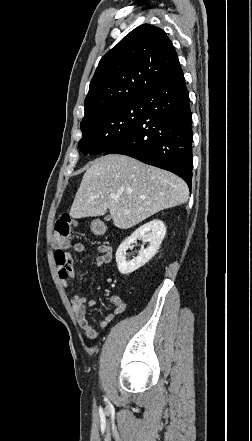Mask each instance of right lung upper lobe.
<instances>
[{
	"instance_id": "obj_1",
	"label": "right lung upper lobe",
	"mask_w": 252,
	"mask_h": 441,
	"mask_svg": "<svg viewBox=\"0 0 252 441\" xmlns=\"http://www.w3.org/2000/svg\"><path fill=\"white\" fill-rule=\"evenodd\" d=\"M166 33L143 24L100 60L84 102L85 120L98 112L140 99L179 66Z\"/></svg>"
}]
</instances>
